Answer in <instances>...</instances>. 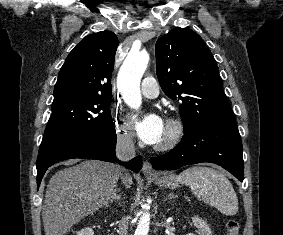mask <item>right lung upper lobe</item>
<instances>
[{
	"label": "right lung upper lobe",
	"instance_id": "1",
	"mask_svg": "<svg viewBox=\"0 0 283 235\" xmlns=\"http://www.w3.org/2000/svg\"><path fill=\"white\" fill-rule=\"evenodd\" d=\"M117 36L101 31L86 36L68 55L54 87L53 103L71 97H111Z\"/></svg>",
	"mask_w": 283,
	"mask_h": 235
}]
</instances>
